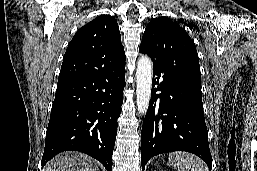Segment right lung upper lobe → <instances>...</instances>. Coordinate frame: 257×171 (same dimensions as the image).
I'll use <instances>...</instances> for the list:
<instances>
[{
	"label": "right lung upper lobe",
	"mask_w": 257,
	"mask_h": 171,
	"mask_svg": "<svg viewBox=\"0 0 257 171\" xmlns=\"http://www.w3.org/2000/svg\"><path fill=\"white\" fill-rule=\"evenodd\" d=\"M125 59L117 21L101 15L81 27L70 41L58 80L114 68Z\"/></svg>",
	"instance_id": "obj_1"
}]
</instances>
